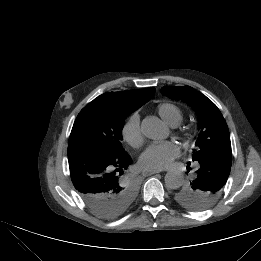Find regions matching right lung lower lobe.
I'll return each mask as SVG.
<instances>
[{
  "instance_id": "right-lung-lower-lobe-1",
  "label": "right lung lower lobe",
  "mask_w": 261,
  "mask_h": 261,
  "mask_svg": "<svg viewBox=\"0 0 261 261\" xmlns=\"http://www.w3.org/2000/svg\"><path fill=\"white\" fill-rule=\"evenodd\" d=\"M68 161L74 187L84 202L91 203L102 194L120 185L131 157L104 154L88 143L68 145Z\"/></svg>"
}]
</instances>
